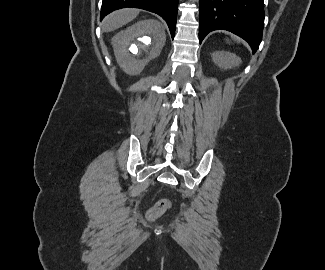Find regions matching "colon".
I'll use <instances>...</instances> for the list:
<instances>
[{"instance_id":"obj_1","label":"colon","mask_w":325,"mask_h":270,"mask_svg":"<svg viewBox=\"0 0 325 270\" xmlns=\"http://www.w3.org/2000/svg\"><path fill=\"white\" fill-rule=\"evenodd\" d=\"M171 207V202L168 199H161L156 202L147 212V217L154 220L163 215Z\"/></svg>"}]
</instances>
